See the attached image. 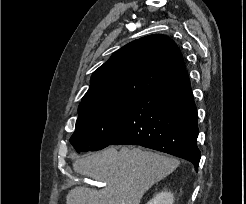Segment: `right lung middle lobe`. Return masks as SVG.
<instances>
[{"label": "right lung middle lobe", "instance_id": "1", "mask_svg": "<svg viewBox=\"0 0 246 204\" xmlns=\"http://www.w3.org/2000/svg\"><path fill=\"white\" fill-rule=\"evenodd\" d=\"M136 96L96 99L80 103L70 142L77 152L96 151L110 145Z\"/></svg>", "mask_w": 246, "mask_h": 204}]
</instances>
